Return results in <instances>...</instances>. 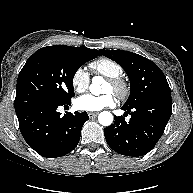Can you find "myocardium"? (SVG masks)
Listing matches in <instances>:
<instances>
[{"mask_svg": "<svg viewBox=\"0 0 193 193\" xmlns=\"http://www.w3.org/2000/svg\"><path fill=\"white\" fill-rule=\"evenodd\" d=\"M107 81L112 87V93H114L118 99L124 100L128 97L130 93V87L122 77L108 78Z\"/></svg>", "mask_w": 193, "mask_h": 193, "instance_id": "f54148a6", "label": "myocardium"}]
</instances>
